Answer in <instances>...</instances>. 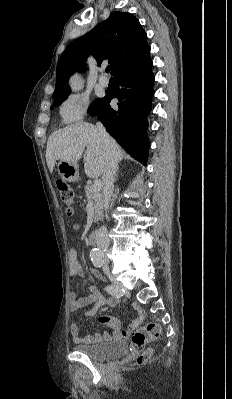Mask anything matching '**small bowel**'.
<instances>
[{
  "instance_id": "1",
  "label": "small bowel",
  "mask_w": 232,
  "mask_h": 399,
  "mask_svg": "<svg viewBox=\"0 0 232 399\" xmlns=\"http://www.w3.org/2000/svg\"><path fill=\"white\" fill-rule=\"evenodd\" d=\"M84 259V254L80 251H78L76 248H71L69 251V273L71 277H79V278H85L84 271L81 267V261ZM93 274L95 276H100V272L98 270H93ZM89 295L78 299L76 295V291L74 289H71L69 292V313L70 314H76L80 313L82 311H85V309L92 303L96 305H100L104 303V298L103 296L98 292L95 286L90 285L89 286ZM116 302L111 300L109 301L110 306H115ZM136 308V316L134 318V321L126 327H121L119 324L118 319L113 316V315H105L101 316L99 318L100 322H104L107 324L110 328L113 329L114 331V337L118 338L122 336L124 333H130L135 331L139 326L142 324L144 317H145V312L141 307L135 306ZM95 311H87L84 313V315H79L76 319L72 320L70 323L69 327V332H70V339L74 344L77 345H99L101 344V336L99 333H95L93 336H87L81 334L80 330V325L79 321L80 319L84 317H89V316H94Z\"/></svg>"
}]
</instances>
